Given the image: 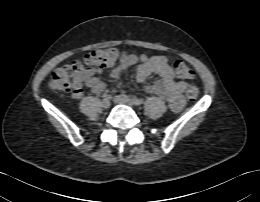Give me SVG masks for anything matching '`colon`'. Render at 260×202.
<instances>
[{"label": "colon", "instance_id": "colon-1", "mask_svg": "<svg viewBox=\"0 0 260 202\" xmlns=\"http://www.w3.org/2000/svg\"><path fill=\"white\" fill-rule=\"evenodd\" d=\"M118 58V51L115 48H103L94 50L85 55L82 59L56 69L49 81V87L53 91L69 93L75 89V84L86 73L99 72L112 66ZM175 74L180 79H192L194 71L183 61L176 60L173 63ZM198 88L190 83L186 96L194 101L198 97Z\"/></svg>", "mask_w": 260, "mask_h": 202}]
</instances>
